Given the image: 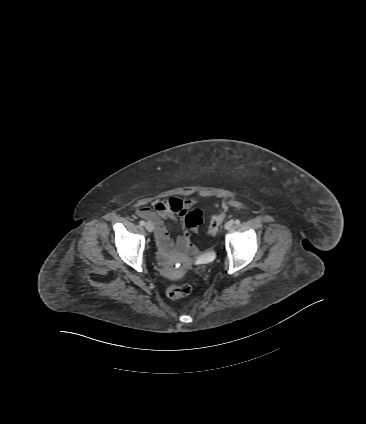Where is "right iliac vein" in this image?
<instances>
[{"instance_id": "63e3f726", "label": "right iliac vein", "mask_w": 366, "mask_h": 424, "mask_svg": "<svg viewBox=\"0 0 366 424\" xmlns=\"http://www.w3.org/2000/svg\"><path fill=\"white\" fill-rule=\"evenodd\" d=\"M145 228L148 232H152L153 231V225L150 222H147L145 224Z\"/></svg>"}]
</instances>
